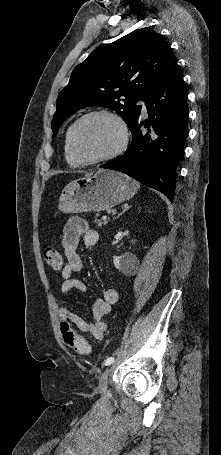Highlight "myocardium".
Masks as SVG:
<instances>
[{
  "label": "myocardium",
  "instance_id": "f54148a6",
  "mask_svg": "<svg viewBox=\"0 0 221 455\" xmlns=\"http://www.w3.org/2000/svg\"><path fill=\"white\" fill-rule=\"evenodd\" d=\"M93 117H107L112 119L118 126L120 132V142L115 149L111 152L97 157V158H86L84 157L77 147V131L79 126L86 120L93 118ZM129 142V130L128 126L121 115L118 113L108 110V109H98L91 112H88L78 118L71 127L70 132V146L73 154L76 156L78 160H80L83 164H97L109 161L118 155H120L127 147Z\"/></svg>",
  "mask_w": 221,
  "mask_h": 455
}]
</instances>
